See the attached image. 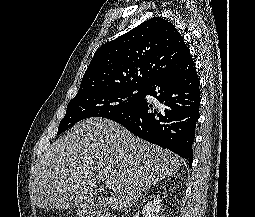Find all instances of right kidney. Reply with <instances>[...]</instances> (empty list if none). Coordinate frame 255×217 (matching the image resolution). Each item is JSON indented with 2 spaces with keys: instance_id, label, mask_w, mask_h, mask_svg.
Listing matches in <instances>:
<instances>
[{
  "instance_id": "right-kidney-1",
  "label": "right kidney",
  "mask_w": 255,
  "mask_h": 217,
  "mask_svg": "<svg viewBox=\"0 0 255 217\" xmlns=\"http://www.w3.org/2000/svg\"><path fill=\"white\" fill-rule=\"evenodd\" d=\"M160 198H154L152 201L147 202V204L143 207L142 213L145 217H160Z\"/></svg>"
}]
</instances>
